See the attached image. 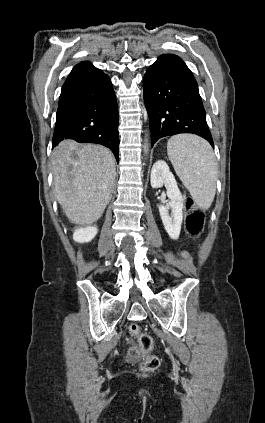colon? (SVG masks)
Wrapping results in <instances>:
<instances>
[{"label":"colon","mask_w":265,"mask_h":423,"mask_svg":"<svg viewBox=\"0 0 265 423\" xmlns=\"http://www.w3.org/2000/svg\"><path fill=\"white\" fill-rule=\"evenodd\" d=\"M187 212L185 217V228L189 235L199 236L203 232L205 217L201 209H199L193 199L188 198L186 200ZM129 332L136 336L138 342V351L134 352V355L139 353H146L153 348V339L146 333L141 331L139 326L135 323L129 325ZM160 360L155 355L146 356L143 358L141 366L145 371H153L158 368Z\"/></svg>","instance_id":"colon-1"}]
</instances>
